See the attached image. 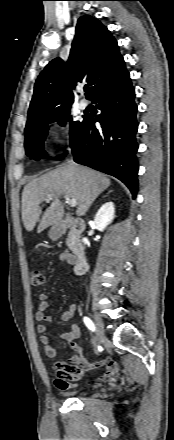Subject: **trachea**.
Returning <instances> with one entry per match:
<instances>
[{
  "label": "trachea",
  "mask_w": 174,
  "mask_h": 440,
  "mask_svg": "<svg viewBox=\"0 0 174 440\" xmlns=\"http://www.w3.org/2000/svg\"><path fill=\"white\" fill-rule=\"evenodd\" d=\"M84 90L87 91V90H88V87L86 86V87L84 88Z\"/></svg>",
  "instance_id": "1"
}]
</instances>
